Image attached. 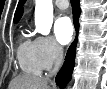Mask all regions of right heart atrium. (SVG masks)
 <instances>
[{
  "label": "right heart atrium",
  "mask_w": 107,
  "mask_h": 89,
  "mask_svg": "<svg viewBox=\"0 0 107 89\" xmlns=\"http://www.w3.org/2000/svg\"><path fill=\"white\" fill-rule=\"evenodd\" d=\"M38 57L43 69H49L57 63L62 56V48L50 36L36 38Z\"/></svg>",
  "instance_id": "1"
}]
</instances>
